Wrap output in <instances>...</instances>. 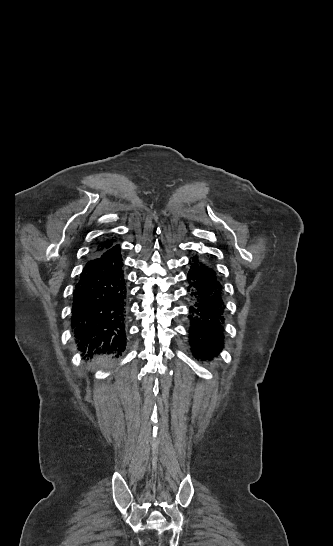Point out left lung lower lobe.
<instances>
[{
  "mask_svg": "<svg viewBox=\"0 0 333 546\" xmlns=\"http://www.w3.org/2000/svg\"><path fill=\"white\" fill-rule=\"evenodd\" d=\"M189 264L187 291L194 301L189 315L192 352L197 360H212L224 346L222 287L213 269L202 263L197 255L191 257Z\"/></svg>",
  "mask_w": 333,
  "mask_h": 546,
  "instance_id": "obj_1",
  "label": "left lung lower lobe"
}]
</instances>
